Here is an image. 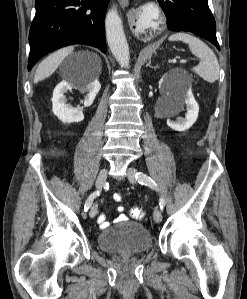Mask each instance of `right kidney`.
<instances>
[{"label":"right kidney","mask_w":247,"mask_h":299,"mask_svg":"<svg viewBox=\"0 0 247 299\" xmlns=\"http://www.w3.org/2000/svg\"><path fill=\"white\" fill-rule=\"evenodd\" d=\"M73 86L67 81L60 82L53 91L52 97V111L55 116L58 117L63 123L80 122L84 119V115L81 108H74L70 104H66V98L64 93L71 90ZM101 85L97 78L91 82L78 86V89L82 93H87L84 98L83 105L88 107L92 105L97 93L100 91Z\"/></svg>","instance_id":"ca27d5eb"}]
</instances>
